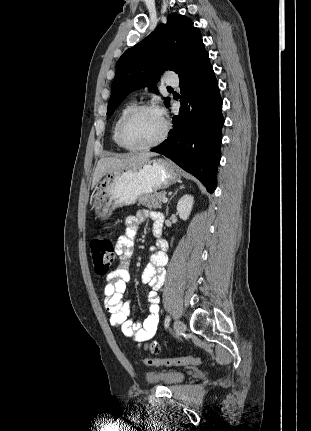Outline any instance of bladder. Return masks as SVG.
<instances>
[{"label":"bladder","instance_id":"bladder-1","mask_svg":"<svg viewBox=\"0 0 311 431\" xmlns=\"http://www.w3.org/2000/svg\"><path fill=\"white\" fill-rule=\"evenodd\" d=\"M145 378L149 383L170 387L183 382L186 374L177 369L154 370L146 372Z\"/></svg>","mask_w":311,"mask_h":431}]
</instances>
